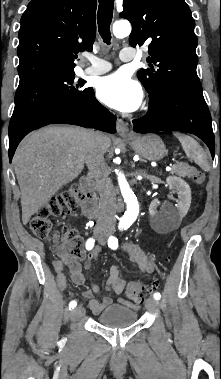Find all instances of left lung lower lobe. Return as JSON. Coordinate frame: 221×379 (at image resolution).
<instances>
[{
  "label": "left lung lower lobe",
  "mask_w": 221,
  "mask_h": 379,
  "mask_svg": "<svg viewBox=\"0 0 221 379\" xmlns=\"http://www.w3.org/2000/svg\"><path fill=\"white\" fill-rule=\"evenodd\" d=\"M149 97V110L144 117L133 120V131L175 130L192 133L206 143L214 157L211 115L203 94L159 88Z\"/></svg>",
  "instance_id": "obj_1"
}]
</instances>
